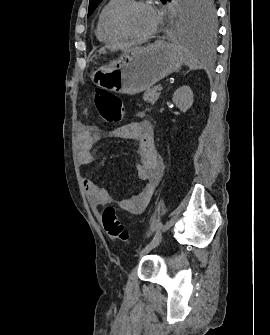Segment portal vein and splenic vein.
<instances>
[{
  "instance_id": "portal-vein-and-splenic-vein-1",
  "label": "portal vein and splenic vein",
  "mask_w": 270,
  "mask_h": 335,
  "mask_svg": "<svg viewBox=\"0 0 270 335\" xmlns=\"http://www.w3.org/2000/svg\"><path fill=\"white\" fill-rule=\"evenodd\" d=\"M164 89V86L157 87V93H161V90Z\"/></svg>"
}]
</instances>
